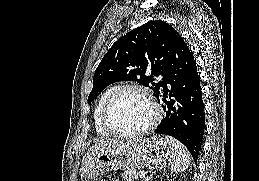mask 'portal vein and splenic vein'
Wrapping results in <instances>:
<instances>
[{"instance_id": "1", "label": "portal vein and splenic vein", "mask_w": 259, "mask_h": 181, "mask_svg": "<svg viewBox=\"0 0 259 181\" xmlns=\"http://www.w3.org/2000/svg\"><path fill=\"white\" fill-rule=\"evenodd\" d=\"M145 174H146L145 172H141V173H140V178H141V179H144V178H145Z\"/></svg>"}]
</instances>
